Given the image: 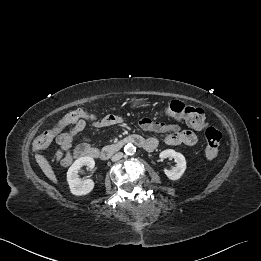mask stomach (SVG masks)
Returning <instances> with one entry per match:
<instances>
[{
    "mask_svg": "<svg viewBox=\"0 0 261 261\" xmlns=\"http://www.w3.org/2000/svg\"><path fill=\"white\" fill-rule=\"evenodd\" d=\"M131 104L132 107H145L149 105V102L144 98H133Z\"/></svg>",
    "mask_w": 261,
    "mask_h": 261,
    "instance_id": "1",
    "label": "stomach"
}]
</instances>
